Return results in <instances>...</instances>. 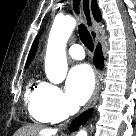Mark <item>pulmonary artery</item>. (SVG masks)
<instances>
[{"mask_svg":"<svg viewBox=\"0 0 136 136\" xmlns=\"http://www.w3.org/2000/svg\"><path fill=\"white\" fill-rule=\"evenodd\" d=\"M68 53L71 57L75 59H83L85 55L83 48L78 44L70 46L68 49Z\"/></svg>","mask_w":136,"mask_h":136,"instance_id":"obj_1","label":"pulmonary artery"}]
</instances>
